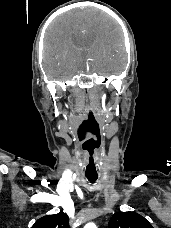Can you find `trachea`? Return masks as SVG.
<instances>
[{
    "instance_id": "1",
    "label": "trachea",
    "mask_w": 171,
    "mask_h": 228,
    "mask_svg": "<svg viewBox=\"0 0 171 228\" xmlns=\"http://www.w3.org/2000/svg\"><path fill=\"white\" fill-rule=\"evenodd\" d=\"M86 177L91 183H94L98 178V176H90V175H86Z\"/></svg>"
}]
</instances>
